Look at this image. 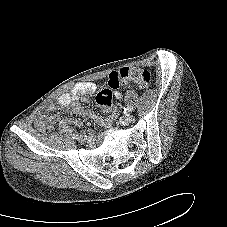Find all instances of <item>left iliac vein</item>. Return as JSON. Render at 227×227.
Segmentation results:
<instances>
[{
  "label": "left iliac vein",
  "instance_id": "4c4485c4",
  "mask_svg": "<svg viewBox=\"0 0 227 227\" xmlns=\"http://www.w3.org/2000/svg\"><path fill=\"white\" fill-rule=\"evenodd\" d=\"M133 116L131 114H126L119 119L120 124L128 125L133 121Z\"/></svg>",
  "mask_w": 227,
  "mask_h": 227
}]
</instances>
